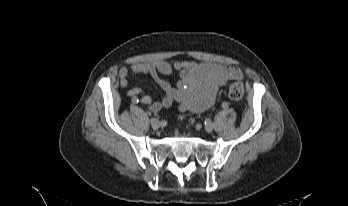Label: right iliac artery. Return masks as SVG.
<instances>
[{
	"label": "right iliac artery",
	"mask_w": 348,
	"mask_h": 206,
	"mask_svg": "<svg viewBox=\"0 0 348 206\" xmlns=\"http://www.w3.org/2000/svg\"><path fill=\"white\" fill-rule=\"evenodd\" d=\"M139 98L138 97H133V104H138Z\"/></svg>",
	"instance_id": "right-iliac-artery-1"
}]
</instances>
